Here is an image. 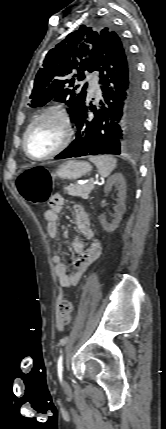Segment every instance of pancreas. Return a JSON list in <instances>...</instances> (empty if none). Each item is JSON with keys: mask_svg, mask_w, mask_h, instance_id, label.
<instances>
[{"mask_svg": "<svg viewBox=\"0 0 166 429\" xmlns=\"http://www.w3.org/2000/svg\"><path fill=\"white\" fill-rule=\"evenodd\" d=\"M94 187L95 186L93 183L88 182L87 184H83V185L72 184L65 187L64 189L68 195L79 196L83 199H87L90 192L94 189Z\"/></svg>", "mask_w": 166, "mask_h": 429, "instance_id": "obj_1", "label": "pancreas"}]
</instances>
